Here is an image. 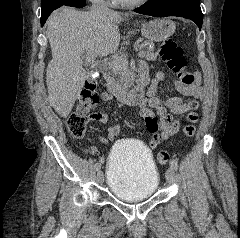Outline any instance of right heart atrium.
<instances>
[{
    "instance_id": "obj_1",
    "label": "right heart atrium",
    "mask_w": 240,
    "mask_h": 238,
    "mask_svg": "<svg viewBox=\"0 0 240 238\" xmlns=\"http://www.w3.org/2000/svg\"><path fill=\"white\" fill-rule=\"evenodd\" d=\"M101 1H107V2H112L113 0H101Z\"/></svg>"
}]
</instances>
